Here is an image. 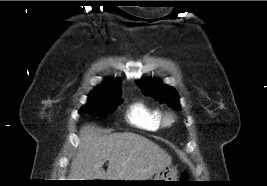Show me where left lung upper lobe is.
Returning <instances> with one entry per match:
<instances>
[{"label": "left lung upper lobe", "mask_w": 267, "mask_h": 186, "mask_svg": "<svg viewBox=\"0 0 267 186\" xmlns=\"http://www.w3.org/2000/svg\"><path fill=\"white\" fill-rule=\"evenodd\" d=\"M136 84L146 96L154 98L160 103H166L175 110H180L178 103L179 97L176 91L170 87L163 85L159 80H139Z\"/></svg>", "instance_id": "left-lung-upper-lobe-1"}]
</instances>
